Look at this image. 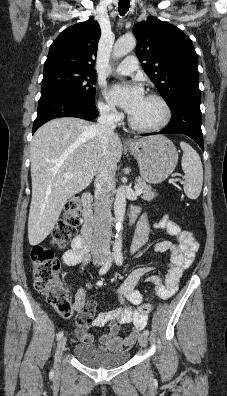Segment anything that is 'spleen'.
<instances>
[{"label": "spleen", "instance_id": "3e777b00", "mask_svg": "<svg viewBox=\"0 0 227 396\" xmlns=\"http://www.w3.org/2000/svg\"><path fill=\"white\" fill-rule=\"evenodd\" d=\"M183 150L182 169L185 174L184 192L190 199L199 197L203 184V167L199 154L186 142H181Z\"/></svg>", "mask_w": 227, "mask_h": 396}]
</instances>
